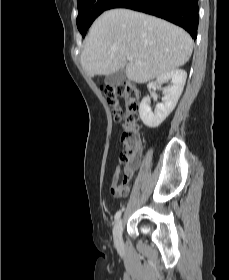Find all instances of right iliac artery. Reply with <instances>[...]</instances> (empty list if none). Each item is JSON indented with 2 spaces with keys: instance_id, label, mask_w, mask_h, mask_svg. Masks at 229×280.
<instances>
[{
  "instance_id": "obj_1",
  "label": "right iliac artery",
  "mask_w": 229,
  "mask_h": 280,
  "mask_svg": "<svg viewBox=\"0 0 229 280\" xmlns=\"http://www.w3.org/2000/svg\"><path fill=\"white\" fill-rule=\"evenodd\" d=\"M121 213H122L121 210H119L118 212H116V214H115V221H118V219H119L120 216H121Z\"/></svg>"
}]
</instances>
